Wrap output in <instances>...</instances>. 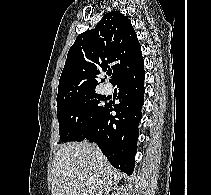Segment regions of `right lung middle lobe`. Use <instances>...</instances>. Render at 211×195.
<instances>
[{
	"instance_id": "1",
	"label": "right lung middle lobe",
	"mask_w": 211,
	"mask_h": 195,
	"mask_svg": "<svg viewBox=\"0 0 211 195\" xmlns=\"http://www.w3.org/2000/svg\"><path fill=\"white\" fill-rule=\"evenodd\" d=\"M95 91L57 105L60 140L81 141L107 105Z\"/></svg>"
}]
</instances>
